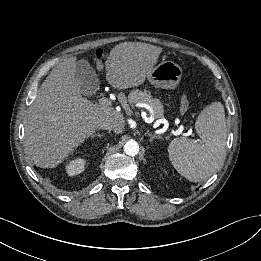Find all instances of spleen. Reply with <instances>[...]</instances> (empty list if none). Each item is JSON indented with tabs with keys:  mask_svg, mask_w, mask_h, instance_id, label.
Returning <instances> with one entry per match:
<instances>
[{
	"mask_svg": "<svg viewBox=\"0 0 261 261\" xmlns=\"http://www.w3.org/2000/svg\"><path fill=\"white\" fill-rule=\"evenodd\" d=\"M195 129L199 142L186 137L173 139L168 156L173 167L191 182L207 180L223 161L227 127L224 107L213 102L199 114Z\"/></svg>",
	"mask_w": 261,
	"mask_h": 261,
	"instance_id": "3e777b00",
	"label": "spleen"
}]
</instances>
